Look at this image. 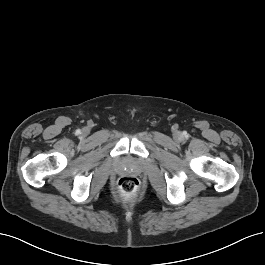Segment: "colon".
<instances>
[{"label": "colon", "mask_w": 265, "mask_h": 265, "mask_svg": "<svg viewBox=\"0 0 265 265\" xmlns=\"http://www.w3.org/2000/svg\"><path fill=\"white\" fill-rule=\"evenodd\" d=\"M118 186L123 193L134 195L138 191L139 182L133 176H124L119 179Z\"/></svg>", "instance_id": "5ec220e1"}]
</instances>
